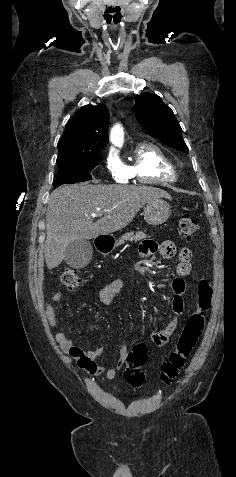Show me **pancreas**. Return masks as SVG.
Masks as SVG:
<instances>
[{
  "instance_id": "1",
  "label": "pancreas",
  "mask_w": 236,
  "mask_h": 477,
  "mask_svg": "<svg viewBox=\"0 0 236 477\" xmlns=\"http://www.w3.org/2000/svg\"><path fill=\"white\" fill-rule=\"evenodd\" d=\"M146 237L147 236L143 232H136V233L130 232L123 235L116 243L117 245H121V244H124L126 241L136 242V241L145 239Z\"/></svg>"
}]
</instances>
